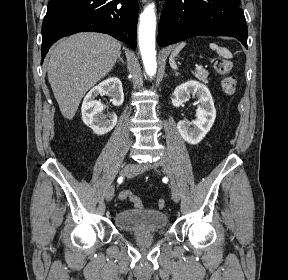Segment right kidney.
<instances>
[{
	"label": "right kidney",
	"mask_w": 288,
	"mask_h": 280,
	"mask_svg": "<svg viewBox=\"0 0 288 280\" xmlns=\"http://www.w3.org/2000/svg\"><path fill=\"white\" fill-rule=\"evenodd\" d=\"M107 94L114 106H120L124 101L121 81L116 77L108 78L93 87L82 103V120L95 134L104 135L111 131L117 122L115 113L104 114V106L95 100L98 95Z\"/></svg>",
	"instance_id": "1"
}]
</instances>
